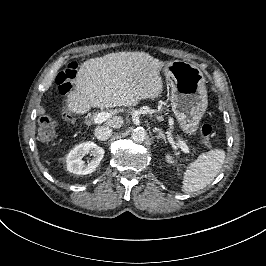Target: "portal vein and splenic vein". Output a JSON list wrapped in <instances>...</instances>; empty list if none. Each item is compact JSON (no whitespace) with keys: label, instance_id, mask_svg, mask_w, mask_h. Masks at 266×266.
Returning <instances> with one entry per match:
<instances>
[{"label":"portal vein and splenic vein","instance_id":"obj_1","mask_svg":"<svg viewBox=\"0 0 266 266\" xmlns=\"http://www.w3.org/2000/svg\"><path fill=\"white\" fill-rule=\"evenodd\" d=\"M109 114L108 113H98L95 115L94 117V123L95 124H101L104 121H106L109 118ZM182 151L183 153H185L186 155L190 154V148L187 145H182Z\"/></svg>","mask_w":266,"mask_h":266}]
</instances>
